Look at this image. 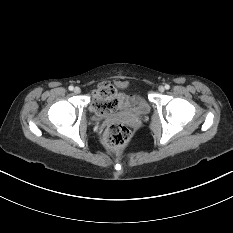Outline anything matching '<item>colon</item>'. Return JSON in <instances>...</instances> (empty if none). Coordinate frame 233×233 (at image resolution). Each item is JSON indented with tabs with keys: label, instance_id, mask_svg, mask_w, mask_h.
<instances>
[{
	"label": "colon",
	"instance_id": "5ec220e1",
	"mask_svg": "<svg viewBox=\"0 0 233 233\" xmlns=\"http://www.w3.org/2000/svg\"><path fill=\"white\" fill-rule=\"evenodd\" d=\"M119 106V100L115 94L112 85L102 84L97 90L95 107L98 111L109 113L116 110ZM131 132L129 128L121 122H114L108 125L103 135L105 146L111 151H121L129 142Z\"/></svg>",
	"mask_w": 233,
	"mask_h": 233
}]
</instances>
